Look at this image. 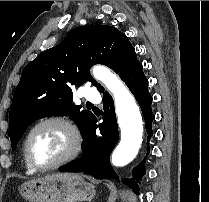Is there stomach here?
Wrapping results in <instances>:
<instances>
[{
  "label": "stomach",
  "mask_w": 209,
  "mask_h": 202,
  "mask_svg": "<svg viewBox=\"0 0 209 202\" xmlns=\"http://www.w3.org/2000/svg\"><path fill=\"white\" fill-rule=\"evenodd\" d=\"M19 191L29 202H82L96 194L92 184L74 173H56L30 180L23 183Z\"/></svg>",
  "instance_id": "obj_1"
}]
</instances>
